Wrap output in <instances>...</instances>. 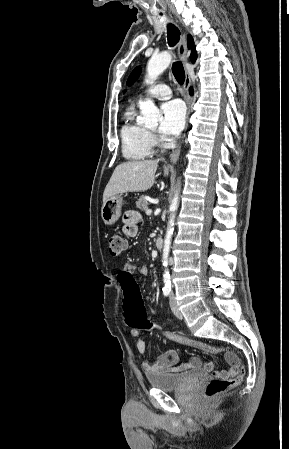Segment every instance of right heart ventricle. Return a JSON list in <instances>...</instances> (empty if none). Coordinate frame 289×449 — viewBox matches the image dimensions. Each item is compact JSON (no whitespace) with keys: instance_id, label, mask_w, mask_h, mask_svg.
I'll return each instance as SVG.
<instances>
[{"instance_id":"1","label":"right heart ventricle","mask_w":289,"mask_h":449,"mask_svg":"<svg viewBox=\"0 0 289 449\" xmlns=\"http://www.w3.org/2000/svg\"><path fill=\"white\" fill-rule=\"evenodd\" d=\"M120 136L122 152L126 158L140 160L152 154L153 144L149 132L135 119L133 109H129L125 114Z\"/></svg>"}]
</instances>
